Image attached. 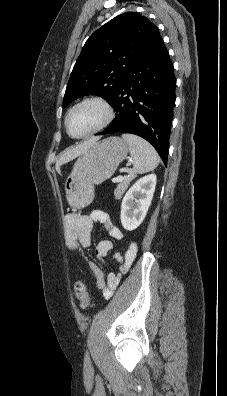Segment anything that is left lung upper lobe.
Wrapping results in <instances>:
<instances>
[{
	"instance_id": "5c2ea615",
	"label": "left lung upper lobe",
	"mask_w": 227,
	"mask_h": 396,
	"mask_svg": "<svg viewBox=\"0 0 227 396\" xmlns=\"http://www.w3.org/2000/svg\"><path fill=\"white\" fill-rule=\"evenodd\" d=\"M158 28L137 12L123 13L96 30L74 65L63 107L84 95L111 104L128 72L159 40Z\"/></svg>"
}]
</instances>
